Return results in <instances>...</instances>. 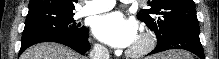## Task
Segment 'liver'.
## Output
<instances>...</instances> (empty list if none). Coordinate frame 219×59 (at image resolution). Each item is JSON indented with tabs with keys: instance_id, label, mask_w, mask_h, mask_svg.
<instances>
[{
	"instance_id": "1",
	"label": "liver",
	"mask_w": 219,
	"mask_h": 59,
	"mask_svg": "<svg viewBox=\"0 0 219 59\" xmlns=\"http://www.w3.org/2000/svg\"><path fill=\"white\" fill-rule=\"evenodd\" d=\"M20 59H85V57L59 44L41 43L25 50Z\"/></svg>"
}]
</instances>
